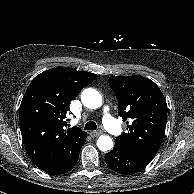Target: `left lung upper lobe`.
Instances as JSON below:
<instances>
[{
	"mask_svg": "<svg viewBox=\"0 0 194 194\" xmlns=\"http://www.w3.org/2000/svg\"><path fill=\"white\" fill-rule=\"evenodd\" d=\"M109 85L118 104V115L127 121V133L115 140L142 155L154 158L165 134L167 104L159 87L139 75L112 76Z\"/></svg>",
	"mask_w": 194,
	"mask_h": 194,
	"instance_id": "left-lung-upper-lobe-1",
	"label": "left lung upper lobe"
}]
</instances>
